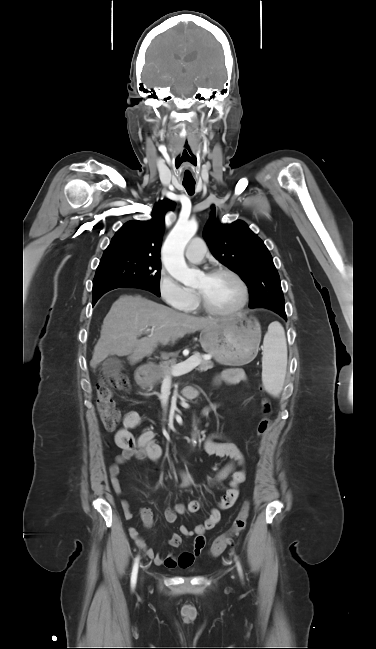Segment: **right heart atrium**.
<instances>
[{
	"label": "right heart atrium",
	"mask_w": 376,
	"mask_h": 649,
	"mask_svg": "<svg viewBox=\"0 0 376 649\" xmlns=\"http://www.w3.org/2000/svg\"><path fill=\"white\" fill-rule=\"evenodd\" d=\"M158 292L167 305L176 309H183L192 298V292L183 287L165 269H162L159 273Z\"/></svg>",
	"instance_id": "obj_1"
}]
</instances>
